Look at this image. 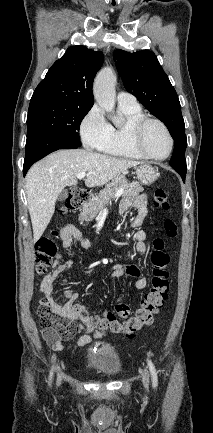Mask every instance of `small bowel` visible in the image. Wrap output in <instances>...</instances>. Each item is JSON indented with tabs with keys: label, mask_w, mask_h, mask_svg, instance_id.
Masks as SVG:
<instances>
[{
	"label": "small bowel",
	"mask_w": 213,
	"mask_h": 433,
	"mask_svg": "<svg viewBox=\"0 0 213 433\" xmlns=\"http://www.w3.org/2000/svg\"><path fill=\"white\" fill-rule=\"evenodd\" d=\"M130 208H135L137 210V214L130 222V226L136 229L133 234L135 249L138 253L145 254L147 252V245L145 242L146 232L139 227L143 224L148 213L146 196L144 194H138L124 199L120 205L121 214L125 216ZM61 238L63 247L65 249H69L75 241L79 242L84 248H89L92 245V243L86 240L83 237L81 231L74 225L65 226L61 232ZM72 264V260L56 264L53 269L44 276L40 286V291L44 296L43 303L46 305L50 314L68 321H74L76 319L75 312L72 307L64 306L55 299L54 283L57 276L69 269ZM113 269L114 275L116 276L126 274L135 278L136 280L134 286L138 290L144 289L148 284L147 279L141 276L139 268L135 265L117 264L113 267ZM77 297L78 295L76 293L71 295L72 300H75ZM77 332H82L83 335L76 341L74 345H69L68 348L83 347L91 343L95 338H102L108 335V332L90 330L81 325L74 327L73 335ZM42 334L46 342L54 350L61 351L66 348V346L61 343V337L58 336L53 329H44ZM52 337H55V341L52 340Z\"/></svg>",
	"instance_id": "small-bowel-1"
}]
</instances>
